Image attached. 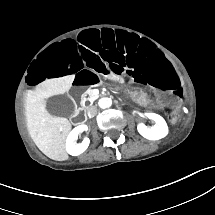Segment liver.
Instances as JSON below:
<instances>
[{"label":"liver","mask_w":215,"mask_h":215,"mask_svg":"<svg viewBox=\"0 0 215 215\" xmlns=\"http://www.w3.org/2000/svg\"><path fill=\"white\" fill-rule=\"evenodd\" d=\"M73 80L74 75L45 80L36 86L35 91H28L26 94L25 114L29 135L36 146L54 160L68 158L65 143L71 124L64 117L49 115L45 110L44 97L67 92Z\"/></svg>","instance_id":"obj_1"}]
</instances>
